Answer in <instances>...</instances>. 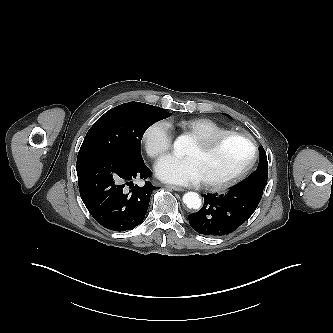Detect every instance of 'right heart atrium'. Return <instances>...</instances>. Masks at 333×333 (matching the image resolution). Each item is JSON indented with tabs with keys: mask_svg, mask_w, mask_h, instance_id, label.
<instances>
[{
	"mask_svg": "<svg viewBox=\"0 0 333 333\" xmlns=\"http://www.w3.org/2000/svg\"><path fill=\"white\" fill-rule=\"evenodd\" d=\"M142 141L151 158H159L167 153L173 143L170 124L165 120L151 123L143 132Z\"/></svg>",
	"mask_w": 333,
	"mask_h": 333,
	"instance_id": "d8ad5b80",
	"label": "right heart atrium"
}]
</instances>
